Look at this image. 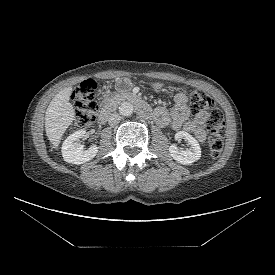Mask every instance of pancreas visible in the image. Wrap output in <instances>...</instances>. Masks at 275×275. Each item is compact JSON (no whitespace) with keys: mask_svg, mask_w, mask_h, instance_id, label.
<instances>
[{"mask_svg":"<svg viewBox=\"0 0 275 275\" xmlns=\"http://www.w3.org/2000/svg\"><path fill=\"white\" fill-rule=\"evenodd\" d=\"M125 94H119L117 92L111 94L110 96H106L103 100L104 105L107 106H115L120 103L123 99H125Z\"/></svg>","mask_w":275,"mask_h":275,"instance_id":"pancreas-1","label":"pancreas"}]
</instances>
